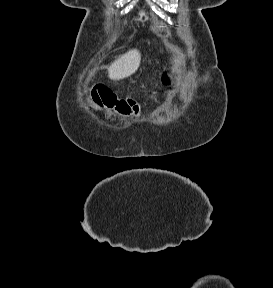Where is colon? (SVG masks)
I'll list each match as a JSON object with an SVG mask.
<instances>
[{
    "label": "colon",
    "instance_id": "1",
    "mask_svg": "<svg viewBox=\"0 0 273 288\" xmlns=\"http://www.w3.org/2000/svg\"><path fill=\"white\" fill-rule=\"evenodd\" d=\"M172 77V71L166 70L163 75V83L165 85H170ZM91 99L98 106L111 108L122 115H130L137 112V106L135 104L118 98L109 88L103 85H98L93 89Z\"/></svg>",
    "mask_w": 273,
    "mask_h": 288
}]
</instances>
